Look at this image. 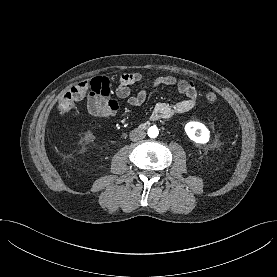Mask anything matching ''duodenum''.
I'll return each mask as SVG.
<instances>
[{"label":"duodenum","instance_id":"1","mask_svg":"<svg viewBox=\"0 0 277 277\" xmlns=\"http://www.w3.org/2000/svg\"><path fill=\"white\" fill-rule=\"evenodd\" d=\"M146 126H147V124H144V125H143V127H146Z\"/></svg>","mask_w":277,"mask_h":277}]
</instances>
